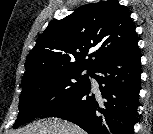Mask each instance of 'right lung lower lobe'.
I'll list each match as a JSON object with an SVG mask.
<instances>
[{
	"instance_id": "98d812e1",
	"label": "right lung lower lobe",
	"mask_w": 153,
	"mask_h": 134,
	"mask_svg": "<svg viewBox=\"0 0 153 134\" xmlns=\"http://www.w3.org/2000/svg\"><path fill=\"white\" fill-rule=\"evenodd\" d=\"M138 45L98 64L92 75L99 83L92 93L91 81L40 118L57 117L73 122L88 134H133L140 91L141 63Z\"/></svg>"
}]
</instances>
